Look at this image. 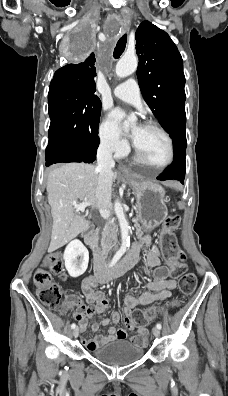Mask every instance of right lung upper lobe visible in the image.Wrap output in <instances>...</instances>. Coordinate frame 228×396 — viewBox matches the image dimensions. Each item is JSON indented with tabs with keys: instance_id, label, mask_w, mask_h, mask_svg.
<instances>
[{
	"instance_id": "cb5924a9",
	"label": "right lung upper lobe",
	"mask_w": 228,
	"mask_h": 396,
	"mask_svg": "<svg viewBox=\"0 0 228 396\" xmlns=\"http://www.w3.org/2000/svg\"><path fill=\"white\" fill-rule=\"evenodd\" d=\"M94 56V53H91L81 63L67 64L58 69L51 83L71 84L82 91L95 95L96 87L94 77L96 76V69L94 67Z\"/></svg>"
}]
</instances>
